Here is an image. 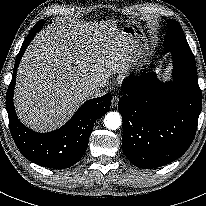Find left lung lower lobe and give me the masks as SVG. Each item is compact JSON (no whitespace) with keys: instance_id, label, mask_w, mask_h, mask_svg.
<instances>
[{"instance_id":"left-lung-lower-lobe-1","label":"left lung lower lobe","mask_w":206,"mask_h":206,"mask_svg":"<svg viewBox=\"0 0 206 206\" xmlns=\"http://www.w3.org/2000/svg\"><path fill=\"white\" fill-rule=\"evenodd\" d=\"M173 77L161 83L150 71L122 85L123 151L139 168L173 162L194 139L202 106L197 69L174 62Z\"/></svg>"}]
</instances>
